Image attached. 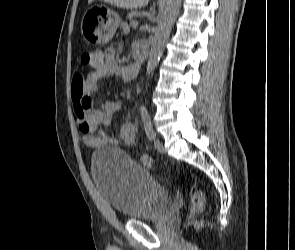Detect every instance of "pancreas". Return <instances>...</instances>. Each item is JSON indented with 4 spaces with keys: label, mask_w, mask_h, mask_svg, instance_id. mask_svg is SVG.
<instances>
[{
    "label": "pancreas",
    "mask_w": 295,
    "mask_h": 250,
    "mask_svg": "<svg viewBox=\"0 0 295 250\" xmlns=\"http://www.w3.org/2000/svg\"><path fill=\"white\" fill-rule=\"evenodd\" d=\"M137 16H138L137 11H132L127 15V18L130 20V24H132V22H134V18Z\"/></svg>",
    "instance_id": "cf45deb5"
}]
</instances>
